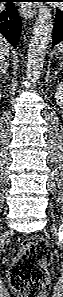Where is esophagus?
I'll use <instances>...</instances> for the list:
<instances>
[{"mask_svg": "<svg viewBox=\"0 0 63 297\" xmlns=\"http://www.w3.org/2000/svg\"><path fill=\"white\" fill-rule=\"evenodd\" d=\"M20 14L24 19H32L36 15V6H22Z\"/></svg>", "mask_w": 63, "mask_h": 297, "instance_id": "34e87169", "label": "esophagus"}]
</instances>
